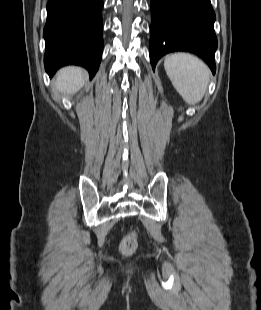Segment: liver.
I'll return each mask as SVG.
<instances>
[{
  "label": "liver",
  "mask_w": 261,
  "mask_h": 310,
  "mask_svg": "<svg viewBox=\"0 0 261 310\" xmlns=\"http://www.w3.org/2000/svg\"><path fill=\"white\" fill-rule=\"evenodd\" d=\"M87 79L86 72L78 67L70 66L61 69L55 79V88L64 94L73 95L81 89Z\"/></svg>",
  "instance_id": "1"
}]
</instances>
